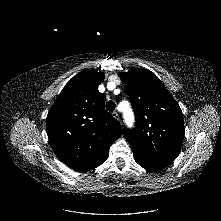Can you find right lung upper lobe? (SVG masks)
<instances>
[{"mask_svg": "<svg viewBox=\"0 0 221 221\" xmlns=\"http://www.w3.org/2000/svg\"><path fill=\"white\" fill-rule=\"evenodd\" d=\"M105 78L98 71H82L63 88L46 120L49 141L59 159L77 171L101 165L120 138V123L104 109L98 91Z\"/></svg>", "mask_w": 221, "mask_h": 221, "instance_id": "right-lung-upper-lobe-1", "label": "right lung upper lobe"}]
</instances>
